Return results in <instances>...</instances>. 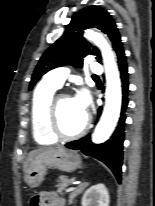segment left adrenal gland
<instances>
[{
	"label": "left adrenal gland",
	"instance_id": "obj_1",
	"mask_svg": "<svg viewBox=\"0 0 155 206\" xmlns=\"http://www.w3.org/2000/svg\"><path fill=\"white\" fill-rule=\"evenodd\" d=\"M89 185L88 182H83L82 184H80L74 191L71 192V194L69 195V205H71L73 203L74 198L79 195L80 193H82V191Z\"/></svg>",
	"mask_w": 155,
	"mask_h": 206
}]
</instances>
